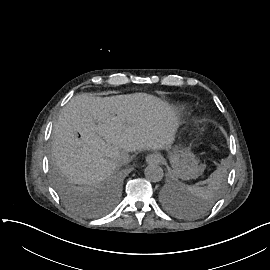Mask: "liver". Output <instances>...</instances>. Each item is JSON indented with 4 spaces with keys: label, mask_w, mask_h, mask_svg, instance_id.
Listing matches in <instances>:
<instances>
[{
    "label": "liver",
    "mask_w": 270,
    "mask_h": 270,
    "mask_svg": "<svg viewBox=\"0 0 270 270\" xmlns=\"http://www.w3.org/2000/svg\"><path fill=\"white\" fill-rule=\"evenodd\" d=\"M170 109L147 93L76 95L54 123L52 158L69 182L96 186L124 164L119 153L160 150L172 143L178 124L162 119Z\"/></svg>",
    "instance_id": "6515ba94"
}]
</instances>
